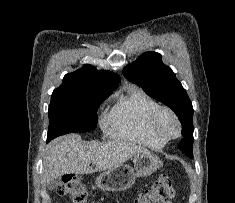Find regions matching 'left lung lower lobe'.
<instances>
[{
  "label": "left lung lower lobe",
  "mask_w": 235,
  "mask_h": 203,
  "mask_svg": "<svg viewBox=\"0 0 235 203\" xmlns=\"http://www.w3.org/2000/svg\"><path fill=\"white\" fill-rule=\"evenodd\" d=\"M182 135L184 136V137H188L189 135L187 134V133H185V132H182Z\"/></svg>",
  "instance_id": "1"
}]
</instances>
